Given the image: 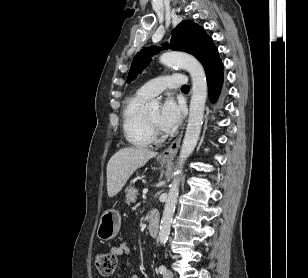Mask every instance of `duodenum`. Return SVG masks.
Here are the masks:
<instances>
[{"mask_svg": "<svg viewBox=\"0 0 308 278\" xmlns=\"http://www.w3.org/2000/svg\"><path fill=\"white\" fill-rule=\"evenodd\" d=\"M148 232L152 238H157L159 233V222L154 213L148 215Z\"/></svg>", "mask_w": 308, "mask_h": 278, "instance_id": "obj_1", "label": "duodenum"}]
</instances>
